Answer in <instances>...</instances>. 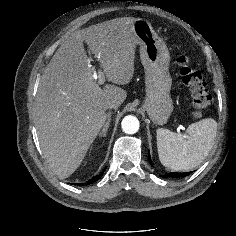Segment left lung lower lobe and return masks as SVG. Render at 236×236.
Masks as SVG:
<instances>
[{
	"instance_id": "obj_1",
	"label": "left lung lower lobe",
	"mask_w": 236,
	"mask_h": 236,
	"mask_svg": "<svg viewBox=\"0 0 236 236\" xmlns=\"http://www.w3.org/2000/svg\"><path fill=\"white\" fill-rule=\"evenodd\" d=\"M149 161L151 163V158H150V153H149ZM191 174V172H187V173H177V172H170L166 175H163V178H167V177H183V176H187Z\"/></svg>"
}]
</instances>
